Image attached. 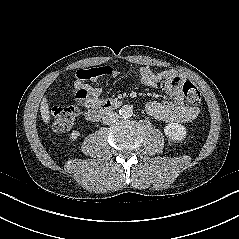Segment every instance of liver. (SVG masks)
I'll return each mask as SVG.
<instances>
[{"instance_id":"1","label":"liver","mask_w":239,"mask_h":239,"mask_svg":"<svg viewBox=\"0 0 239 239\" xmlns=\"http://www.w3.org/2000/svg\"><path fill=\"white\" fill-rule=\"evenodd\" d=\"M40 112L43 122H45V124H48L50 121V115H49V105L47 103L46 98H43L41 102Z\"/></svg>"}]
</instances>
